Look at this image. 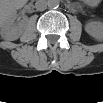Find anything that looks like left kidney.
Wrapping results in <instances>:
<instances>
[{"label": "left kidney", "instance_id": "5707ae66", "mask_svg": "<svg viewBox=\"0 0 103 103\" xmlns=\"http://www.w3.org/2000/svg\"><path fill=\"white\" fill-rule=\"evenodd\" d=\"M86 32L96 40H101L103 37V27L97 22L88 23L85 26Z\"/></svg>", "mask_w": 103, "mask_h": 103}]
</instances>
